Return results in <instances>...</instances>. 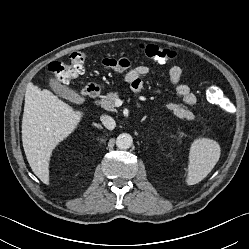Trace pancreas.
Wrapping results in <instances>:
<instances>
[{"mask_svg": "<svg viewBox=\"0 0 249 249\" xmlns=\"http://www.w3.org/2000/svg\"><path fill=\"white\" fill-rule=\"evenodd\" d=\"M119 98L117 92L108 93L104 99L100 101L101 107L109 110L115 111V102ZM166 107L173 112V114L180 119L192 120L194 115L191 111L187 109L186 106L181 104L169 103Z\"/></svg>", "mask_w": 249, "mask_h": 249, "instance_id": "pancreas-1", "label": "pancreas"}]
</instances>
